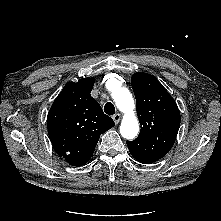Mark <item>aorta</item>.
<instances>
[{
  "mask_svg": "<svg viewBox=\"0 0 221 221\" xmlns=\"http://www.w3.org/2000/svg\"><path fill=\"white\" fill-rule=\"evenodd\" d=\"M112 90V98L117 108L124 113L120 133L126 139H133L139 132V122L134 113L135 103L132 94L126 87L117 85Z\"/></svg>",
  "mask_w": 221,
  "mask_h": 221,
  "instance_id": "aorta-1",
  "label": "aorta"
}]
</instances>
